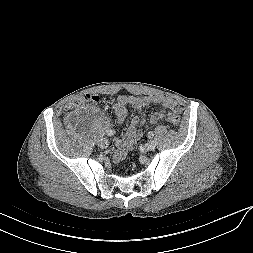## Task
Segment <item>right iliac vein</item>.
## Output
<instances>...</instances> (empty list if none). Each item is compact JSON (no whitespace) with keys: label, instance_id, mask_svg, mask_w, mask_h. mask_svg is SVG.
Listing matches in <instances>:
<instances>
[{"label":"right iliac vein","instance_id":"right-iliac-vein-1","mask_svg":"<svg viewBox=\"0 0 253 253\" xmlns=\"http://www.w3.org/2000/svg\"><path fill=\"white\" fill-rule=\"evenodd\" d=\"M98 145L101 148H106L108 146V141L106 139L101 138L98 140Z\"/></svg>","mask_w":253,"mask_h":253}]
</instances>
